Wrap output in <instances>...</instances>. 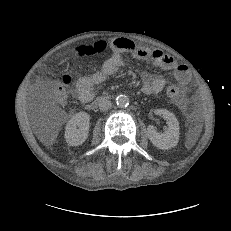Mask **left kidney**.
Returning <instances> with one entry per match:
<instances>
[{
	"instance_id": "1",
	"label": "left kidney",
	"mask_w": 231,
	"mask_h": 231,
	"mask_svg": "<svg viewBox=\"0 0 231 231\" xmlns=\"http://www.w3.org/2000/svg\"><path fill=\"white\" fill-rule=\"evenodd\" d=\"M155 113L162 115L167 120L169 128L167 131L159 133L153 125H149L147 133L150 141L159 149L175 147L179 141V122L176 116L165 109H157Z\"/></svg>"
}]
</instances>
